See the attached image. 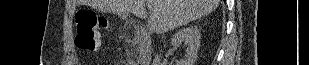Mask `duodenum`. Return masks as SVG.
Masks as SVG:
<instances>
[{
	"label": "duodenum",
	"mask_w": 309,
	"mask_h": 65,
	"mask_svg": "<svg viewBox=\"0 0 309 65\" xmlns=\"http://www.w3.org/2000/svg\"><path fill=\"white\" fill-rule=\"evenodd\" d=\"M133 39L138 46L137 65H150L153 55V42L146 30H135Z\"/></svg>",
	"instance_id": "obj_1"
}]
</instances>
